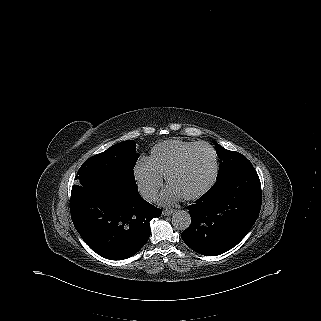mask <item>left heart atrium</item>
<instances>
[{
  "label": "left heart atrium",
  "mask_w": 321,
  "mask_h": 321,
  "mask_svg": "<svg viewBox=\"0 0 321 321\" xmlns=\"http://www.w3.org/2000/svg\"><path fill=\"white\" fill-rule=\"evenodd\" d=\"M182 197L177 191H175L171 186L162 194L161 200L165 203L177 202Z\"/></svg>",
  "instance_id": "39dd6f15"
}]
</instances>
